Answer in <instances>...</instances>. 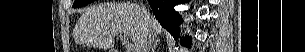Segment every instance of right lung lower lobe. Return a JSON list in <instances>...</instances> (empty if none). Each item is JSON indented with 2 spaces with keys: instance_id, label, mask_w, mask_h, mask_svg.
I'll list each match as a JSON object with an SVG mask.
<instances>
[{
  "instance_id": "right-lung-lower-lobe-1",
  "label": "right lung lower lobe",
  "mask_w": 305,
  "mask_h": 52,
  "mask_svg": "<svg viewBox=\"0 0 305 52\" xmlns=\"http://www.w3.org/2000/svg\"><path fill=\"white\" fill-rule=\"evenodd\" d=\"M155 14L156 19L176 39L179 37V25L182 22L181 16L174 10V6L186 3L189 0H148ZM182 44L186 47L191 45V37H185Z\"/></svg>"
}]
</instances>
